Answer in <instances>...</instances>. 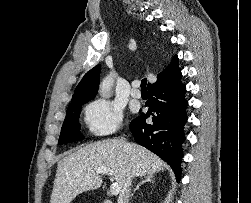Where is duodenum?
<instances>
[{
    "label": "duodenum",
    "instance_id": "410a0bca",
    "mask_svg": "<svg viewBox=\"0 0 251 203\" xmlns=\"http://www.w3.org/2000/svg\"><path fill=\"white\" fill-rule=\"evenodd\" d=\"M102 203H113V201L110 199H104Z\"/></svg>",
    "mask_w": 251,
    "mask_h": 203
}]
</instances>
